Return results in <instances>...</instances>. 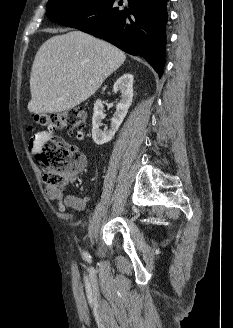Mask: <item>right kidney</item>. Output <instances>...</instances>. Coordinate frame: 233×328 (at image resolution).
Instances as JSON below:
<instances>
[{"label": "right kidney", "instance_id": "1", "mask_svg": "<svg viewBox=\"0 0 233 328\" xmlns=\"http://www.w3.org/2000/svg\"><path fill=\"white\" fill-rule=\"evenodd\" d=\"M113 91H120L121 100L116 106V112L111 121V128L102 131V120L104 119L103 103L97 100L94 104V113L92 118V137L97 145H103L109 142L115 135L119 126L123 122L133 98V75L130 73L123 74L114 84Z\"/></svg>", "mask_w": 233, "mask_h": 328}]
</instances>
